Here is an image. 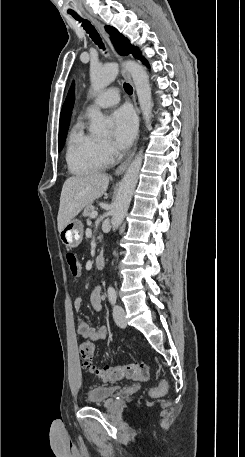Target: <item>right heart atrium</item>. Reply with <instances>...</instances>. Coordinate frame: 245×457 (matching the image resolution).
Listing matches in <instances>:
<instances>
[{
    "label": "right heart atrium",
    "mask_w": 245,
    "mask_h": 457,
    "mask_svg": "<svg viewBox=\"0 0 245 457\" xmlns=\"http://www.w3.org/2000/svg\"><path fill=\"white\" fill-rule=\"evenodd\" d=\"M100 149L106 157H113L116 154L115 148L107 142H100Z\"/></svg>",
    "instance_id": "1"
}]
</instances>
